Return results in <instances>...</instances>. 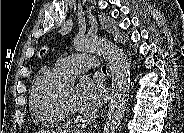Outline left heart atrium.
Here are the masks:
<instances>
[{
    "instance_id": "1",
    "label": "left heart atrium",
    "mask_w": 184,
    "mask_h": 133,
    "mask_svg": "<svg viewBox=\"0 0 184 133\" xmlns=\"http://www.w3.org/2000/svg\"><path fill=\"white\" fill-rule=\"evenodd\" d=\"M73 99L78 111L93 113L100 108L104 100L103 87L89 79H83L76 86Z\"/></svg>"
}]
</instances>
